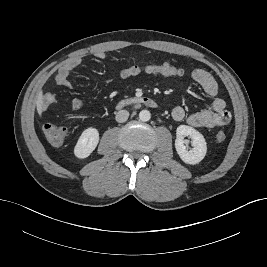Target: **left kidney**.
Returning <instances> with one entry per match:
<instances>
[{
	"label": "left kidney",
	"instance_id": "1",
	"mask_svg": "<svg viewBox=\"0 0 267 267\" xmlns=\"http://www.w3.org/2000/svg\"><path fill=\"white\" fill-rule=\"evenodd\" d=\"M189 136L192 139L191 150L187 149L185 137ZM176 151L183 162L190 165H195L201 162L207 152V145L204 136L196 129L187 126L180 125L176 129L175 140Z\"/></svg>",
	"mask_w": 267,
	"mask_h": 267
}]
</instances>
